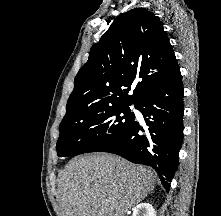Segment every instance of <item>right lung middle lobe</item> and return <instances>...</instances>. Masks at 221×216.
I'll use <instances>...</instances> for the list:
<instances>
[{
    "mask_svg": "<svg viewBox=\"0 0 221 216\" xmlns=\"http://www.w3.org/2000/svg\"><path fill=\"white\" fill-rule=\"evenodd\" d=\"M130 104L105 107L76 121H62L56 145L59 157L98 152L115 141L135 120Z\"/></svg>",
    "mask_w": 221,
    "mask_h": 216,
    "instance_id": "obj_1",
    "label": "right lung middle lobe"
}]
</instances>
